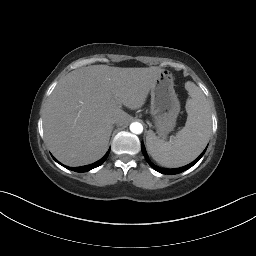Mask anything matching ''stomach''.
I'll return each instance as SVG.
<instances>
[{
    "label": "stomach",
    "instance_id": "stomach-1",
    "mask_svg": "<svg viewBox=\"0 0 256 256\" xmlns=\"http://www.w3.org/2000/svg\"><path fill=\"white\" fill-rule=\"evenodd\" d=\"M150 112L155 128L160 136L171 132L180 112V102L174 89V78L168 71L163 70L151 89Z\"/></svg>",
    "mask_w": 256,
    "mask_h": 256
}]
</instances>
